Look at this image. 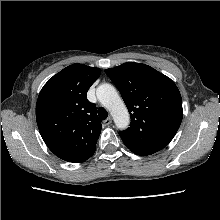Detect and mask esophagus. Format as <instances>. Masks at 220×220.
<instances>
[{"instance_id":"1","label":"esophagus","mask_w":220,"mask_h":220,"mask_svg":"<svg viewBox=\"0 0 220 220\" xmlns=\"http://www.w3.org/2000/svg\"><path fill=\"white\" fill-rule=\"evenodd\" d=\"M103 123H104L105 126L110 125L112 123V117H108L107 119H105L103 121Z\"/></svg>"}]
</instances>
